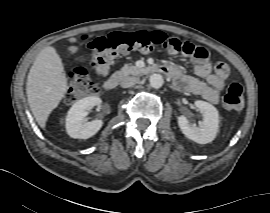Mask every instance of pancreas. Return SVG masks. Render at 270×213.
Here are the masks:
<instances>
[{"label":"pancreas","mask_w":270,"mask_h":213,"mask_svg":"<svg viewBox=\"0 0 270 213\" xmlns=\"http://www.w3.org/2000/svg\"><path fill=\"white\" fill-rule=\"evenodd\" d=\"M142 70L136 66H132L130 64H125L121 70L118 72V74L121 77H125L128 75H139L141 74Z\"/></svg>","instance_id":"pancreas-1"}]
</instances>
